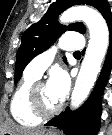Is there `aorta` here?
Masks as SVG:
<instances>
[{
	"label": "aorta",
	"mask_w": 112,
	"mask_h": 135,
	"mask_svg": "<svg viewBox=\"0 0 112 135\" xmlns=\"http://www.w3.org/2000/svg\"><path fill=\"white\" fill-rule=\"evenodd\" d=\"M59 20L63 24L82 20L90 33L89 44L71 95L70 106L72 109H77L88 97L100 72L109 43L108 26L98 11L87 6L68 9Z\"/></svg>",
	"instance_id": "aorta-1"
}]
</instances>
